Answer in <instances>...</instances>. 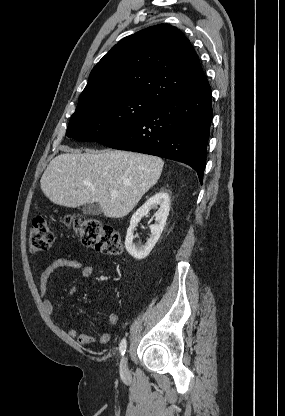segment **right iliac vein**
<instances>
[{
	"mask_svg": "<svg viewBox=\"0 0 285 416\" xmlns=\"http://www.w3.org/2000/svg\"><path fill=\"white\" fill-rule=\"evenodd\" d=\"M127 360V356L125 355L120 362V372L123 376H127L129 374Z\"/></svg>",
	"mask_w": 285,
	"mask_h": 416,
	"instance_id": "obj_1",
	"label": "right iliac vein"
}]
</instances>
